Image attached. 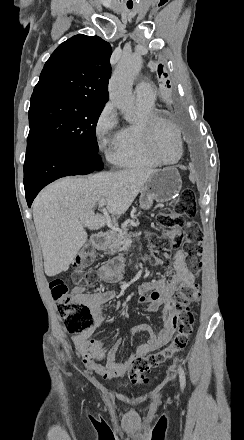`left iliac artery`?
<instances>
[{"mask_svg": "<svg viewBox=\"0 0 244 440\" xmlns=\"http://www.w3.org/2000/svg\"><path fill=\"white\" fill-rule=\"evenodd\" d=\"M178 372H179V377H180V386L183 389L186 385L185 372L181 366L178 367Z\"/></svg>", "mask_w": 244, "mask_h": 440, "instance_id": "left-iliac-artery-1", "label": "left iliac artery"}]
</instances>
